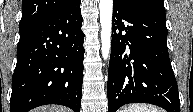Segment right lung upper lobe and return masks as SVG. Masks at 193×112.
I'll use <instances>...</instances> for the list:
<instances>
[{"mask_svg":"<svg viewBox=\"0 0 193 112\" xmlns=\"http://www.w3.org/2000/svg\"><path fill=\"white\" fill-rule=\"evenodd\" d=\"M74 0H23L19 29L33 25L64 9Z\"/></svg>","mask_w":193,"mask_h":112,"instance_id":"right-lung-upper-lobe-1","label":"right lung upper lobe"}]
</instances>
